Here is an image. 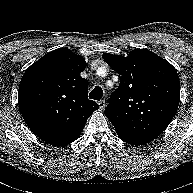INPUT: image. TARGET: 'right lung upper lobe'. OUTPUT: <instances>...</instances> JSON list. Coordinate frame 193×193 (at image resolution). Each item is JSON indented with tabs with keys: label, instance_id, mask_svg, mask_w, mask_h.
<instances>
[{
	"label": "right lung upper lobe",
	"instance_id": "cb5924a9",
	"mask_svg": "<svg viewBox=\"0 0 193 193\" xmlns=\"http://www.w3.org/2000/svg\"><path fill=\"white\" fill-rule=\"evenodd\" d=\"M85 66L83 57L60 48L41 57L22 76L19 110L44 142L59 145L75 140L99 108L87 98L88 81L80 76Z\"/></svg>",
	"mask_w": 193,
	"mask_h": 193
}]
</instances>
